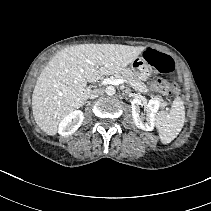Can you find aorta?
I'll return each instance as SVG.
<instances>
[{"mask_svg":"<svg viewBox=\"0 0 211 211\" xmlns=\"http://www.w3.org/2000/svg\"><path fill=\"white\" fill-rule=\"evenodd\" d=\"M105 92L108 96H113L115 93H116V90L113 86H108L106 89H105Z\"/></svg>","mask_w":211,"mask_h":211,"instance_id":"aorta-1","label":"aorta"}]
</instances>
